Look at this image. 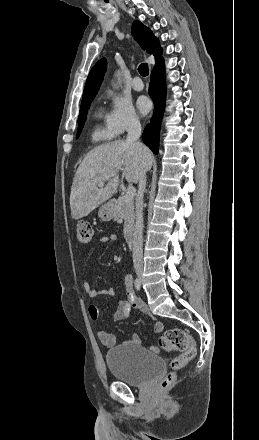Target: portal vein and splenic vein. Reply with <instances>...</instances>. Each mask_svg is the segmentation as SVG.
<instances>
[{
    "instance_id": "18ae733b",
    "label": "portal vein and splenic vein",
    "mask_w": 259,
    "mask_h": 440,
    "mask_svg": "<svg viewBox=\"0 0 259 440\" xmlns=\"http://www.w3.org/2000/svg\"><path fill=\"white\" fill-rule=\"evenodd\" d=\"M112 176H114V173H111L109 176H107L103 181H101L98 186L102 187L104 186L105 182L108 181ZM135 188L133 186H128L127 190H126V195L124 196V199L126 202L128 201H132L134 196H135Z\"/></svg>"
}]
</instances>
